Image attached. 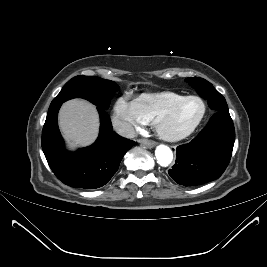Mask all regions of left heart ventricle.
Returning a JSON list of instances; mask_svg holds the SVG:
<instances>
[{
	"label": "left heart ventricle",
	"mask_w": 267,
	"mask_h": 267,
	"mask_svg": "<svg viewBox=\"0 0 267 267\" xmlns=\"http://www.w3.org/2000/svg\"><path fill=\"white\" fill-rule=\"evenodd\" d=\"M200 101L192 99L184 103L174 115L164 122V129L170 133H181L191 127L202 113Z\"/></svg>",
	"instance_id": "obj_1"
}]
</instances>
